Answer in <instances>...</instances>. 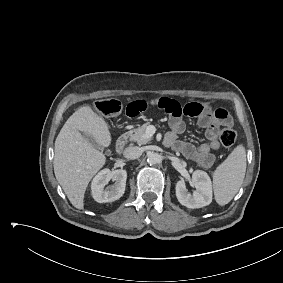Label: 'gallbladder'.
Wrapping results in <instances>:
<instances>
[{"label": "gallbladder", "mask_w": 283, "mask_h": 283, "mask_svg": "<svg viewBox=\"0 0 283 283\" xmlns=\"http://www.w3.org/2000/svg\"><path fill=\"white\" fill-rule=\"evenodd\" d=\"M83 136L85 137L86 140H88L93 146H95L96 148L98 149H101L102 147L95 141V139L88 135V134H84L83 133Z\"/></svg>", "instance_id": "obj_1"}]
</instances>
